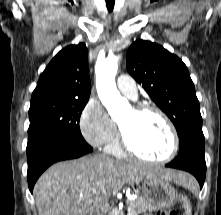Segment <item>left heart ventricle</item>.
I'll return each instance as SVG.
<instances>
[{
  "instance_id": "left-heart-ventricle-1",
  "label": "left heart ventricle",
  "mask_w": 221,
  "mask_h": 215,
  "mask_svg": "<svg viewBox=\"0 0 221 215\" xmlns=\"http://www.w3.org/2000/svg\"><path fill=\"white\" fill-rule=\"evenodd\" d=\"M119 124L132 147L140 154L152 159H161L170 152V133L157 114H137L131 109Z\"/></svg>"
}]
</instances>
